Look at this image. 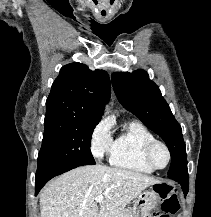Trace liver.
Segmentation results:
<instances>
[{"label":"liver","mask_w":211,"mask_h":217,"mask_svg":"<svg viewBox=\"0 0 211 217\" xmlns=\"http://www.w3.org/2000/svg\"><path fill=\"white\" fill-rule=\"evenodd\" d=\"M159 180L103 165L82 166L56 178L40 194L41 217H116ZM103 196L100 209L95 202Z\"/></svg>","instance_id":"1"}]
</instances>
